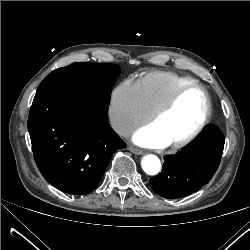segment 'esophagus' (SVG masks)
<instances>
[{"label": "esophagus", "mask_w": 250, "mask_h": 250, "mask_svg": "<svg viewBox=\"0 0 250 250\" xmlns=\"http://www.w3.org/2000/svg\"><path fill=\"white\" fill-rule=\"evenodd\" d=\"M128 150L131 151L132 153L136 154V155H141V154H143V151H142L141 149H139V148H136V147L130 146V147L128 148Z\"/></svg>", "instance_id": "34e87169"}]
</instances>
